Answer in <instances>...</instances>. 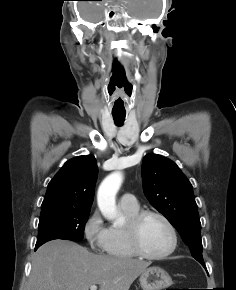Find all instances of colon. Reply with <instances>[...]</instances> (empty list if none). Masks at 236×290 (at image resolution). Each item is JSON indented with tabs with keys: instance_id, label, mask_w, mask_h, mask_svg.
<instances>
[{
	"instance_id": "5ec220e1",
	"label": "colon",
	"mask_w": 236,
	"mask_h": 290,
	"mask_svg": "<svg viewBox=\"0 0 236 290\" xmlns=\"http://www.w3.org/2000/svg\"><path fill=\"white\" fill-rule=\"evenodd\" d=\"M166 290H177V289H171V288H168V289H166Z\"/></svg>"
}]
</instances>
